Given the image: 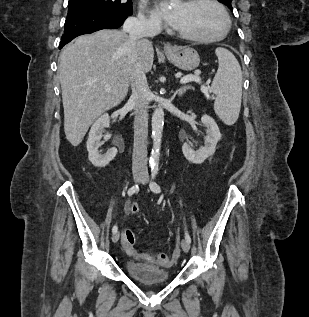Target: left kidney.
<instances>
[{"label":"left kidney","mask_w":309,"mask_h":317,"mask_svg":"<svg viewBox=\"0 0 309 317\" xmlns=\"http://www.w3.org/2000/svg\"><path fill=\"white\" fill-rule=\"evenodd\" d=\"M201 122L207 127L204 146L198 150H194L187 143L182 145V152L185 158L194 164H202L209 156H212L215 153L217 142L221 138L219 127L212 117L203 115Z\"/></svg>","instance_id":"left-kidney-1"}]
</instances>
